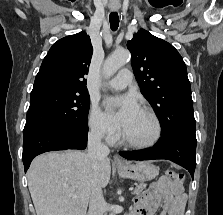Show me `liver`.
<instances>
[{
  "mask_svg": "<svg viewBox=\"0 0 223 215\" xmlns=\"http://www.w3.org/2000/svg\"><path fill=\"white\" fill-rule=\"evenodd\" d=\"M111 165L101 159L93 171L84 151H48L33 159L28 171V187L37 215H86L93 185L109 183ZM76 193V199L72 195Z\"/></svg>",
  "mask_w": 223,
  "mask_h": 215,
  "instance_id": "6515ba94",
  "label": "liver"
}]
</instances>
